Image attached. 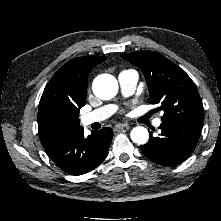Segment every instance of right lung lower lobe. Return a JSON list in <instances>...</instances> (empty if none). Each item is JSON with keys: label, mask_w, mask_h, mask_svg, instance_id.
I'll return each mask as SVG.
<instances>
[{"label": "right lung lower lobe", "mask_w": 221, "mask_h": 221, "mask_svg": "<svg viewBox=\"0 0 221 221\" xmlns=\"http://www.w3.org/2000/svg\"><path fill=\"white\" fill-rule=\"evenodd\" d=\"M112 137L113 131L108 127L93 131L88 137L84 136L81 128L46 151L60 169L72 175H81L104 160Z\"/></svg>", "instance_id": "obj_1"}]
</instances>
